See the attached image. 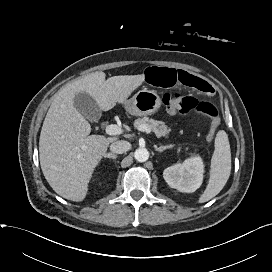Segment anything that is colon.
<instances>
[{"instance_id": "1", "label": "colon", "mask_w": 272, "mask_h": 272, "mask_svg": "<svg viewBox=\"0 0 272 272\" xmlns=\"http://www.w3.org/2000/svg\"><path fill=\"white\" fill-rule=\"evenodd\" d=\"M162 101L170 113L186 114L195 112L209 117L211 119V126L207 137L208 139H213L220 121L218 118V110L212 103L180 93H165Z\"/></svg>"}]
</instances>
